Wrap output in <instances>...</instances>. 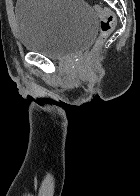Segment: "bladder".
<instances>
[{"mask_svg": "<svg viewBox=\"0 0 140 196\" xmlns=\"http://www.w3.org/2000/svg\"><path fill=\"white\" fill-rule=\"evenodd\" d=\"M14 15L22 47L50 59L82 52L98 31V14L84 0H18Z\"/></svg>", "mask_w": 140, "mask_h": 196, "instance_id": "31cf9c89", "label": "bladder"}]
</instances>
